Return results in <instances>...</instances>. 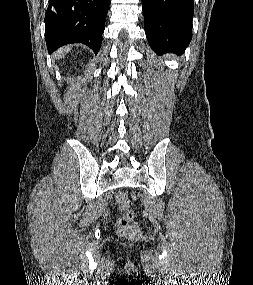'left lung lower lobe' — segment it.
<instances>
[{
  "label": "left lung lower lobe",
  "instance_id": "1",
  "mask_svg": "<svg viewBox=\"0 0 253 285\" xmlns=\"http://www.w3.org/2000/svg\"><path fill=\"white\" fill-rule=\"evenodd\" d=\"M145 33L157 53H183L192 38L193 0H142Z\"/></svg>",
  "mask_w": 253,
  "mask_h": 285
}]
</instances>
